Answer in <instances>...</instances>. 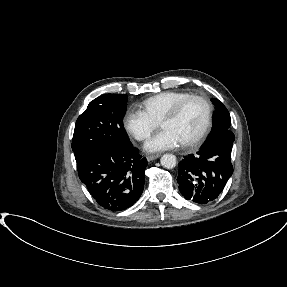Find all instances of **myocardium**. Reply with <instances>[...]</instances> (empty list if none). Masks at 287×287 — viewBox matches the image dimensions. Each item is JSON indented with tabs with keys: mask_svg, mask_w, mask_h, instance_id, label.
<instances>
[{
	"mask_svg": "<svg viewBox=\"0 0 287 287\" xmlns=\"http://www.w3.org/2000/svg\"><path fill=\"white\" fill-rule=\"evenodd\" d=\"M193 100L199 101L203 104L205 115H204V121H203L202 127L199 130V132L193 138L182 143V145L187 148L198 146L207 136L211 128L213 109H212V105L209 102V100L202 95L190 94L184 97L183 99L179 100L177 103H175L161 118V120L175 118L180 113V111L183 109V107L188 102L193 101Z\"/></svg>",
	"mask_w": 287,
	"mask_h": 287,
	"instance_id": "obj_1",
	"label": "myocardium"
}]
</instances>
